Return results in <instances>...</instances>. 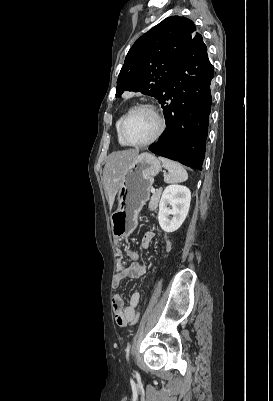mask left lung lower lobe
<instances>
[{"label": "left lung lower lobe", "mask_w": 273, "mask_h": 401, "mask_svg": "<svg viewBox=\"0 0 273 401\" xmlns=\"http://www.w3.org/2000/svg\"><path fill=\"white\" fill-rule=\"evenodd\" d=\"M213 77V65L200 37L190 46L157 97L163 108L166 130L159 141L149 147L150 151L202 170Z\"/></svg>", "instance_id": "left-lung-lower-lobe-1"}]
</instances>
